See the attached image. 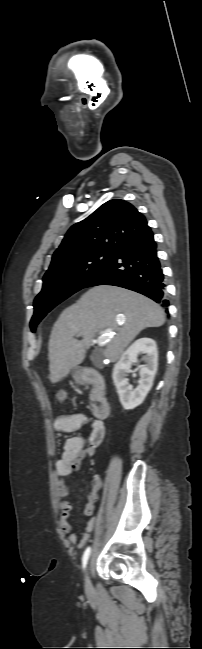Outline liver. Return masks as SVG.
<instances>
[{
	"label": "liver",
	"mask_w": 202,
	"mask_h": 649,
	"mask_svg": "<svg viewBox=\"0 0 202 649\" xmlns=\"http://www.w3.org/2000/svg\"><path fill=\"white\" fill-rule=\"evenodd\" d=\"M164 323L160 305L140 293L109 285L89 289L61 313L52 328L48 344L51 383L61 381L83 362L97 333H111L103 354L114 362L141 330ZM75 335L83 339L78 341Z\"/></svg>",
	"instance_id": "liver-1"
}]
</instances>
